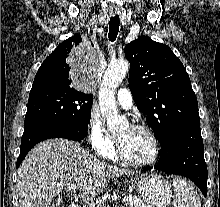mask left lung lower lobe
Instances as JSON below:
<instances>
[{"label":"left lung lower lobe","mask_w":220,"mask_h":207,"mask_svg":"<svg viewBox=\"0 0 220 207\" xmlns=\"http://www.w3.org/2000/svg\"><path fill=\"white\" fill-rule=\"evenodd\" d=\"M203 151L200 123L185 125L161 144L160 159L154 168L189 178L206 197L208 171Z\"/></svg>","instance_id":"0a47b994"}]
</instances>
